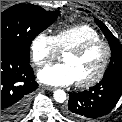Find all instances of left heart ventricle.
Wrapping results in <instances>:
<instances>
[{
    "label": "left heart ventricle",
    "mask_w": 122,
    "mask_h": 122,
    "mask_svg": "<svg viewBox=\"0 0 122 122\" xmlns=\"http://www.w3.org/2000/svg\"><path fill=\"white\" fill-rule=\"evenodd\" d=\"M104 56V47L98 45L81 56L66 53L62 60L72 68L76 82H79L92 78L98 72L103 63Z\"/></svg>",
    "instance_id": "left-heart-ventricle-1"
}]
</instances>
